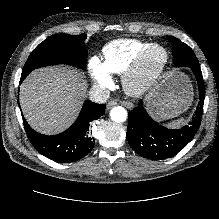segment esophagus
Wrapping results in <instances>:
<instances>
[{"mask_svg":"<svg viewBox=\"0 0 219 219\" xmlns=\"http://www.w3.org/2000/svg\"><path fill=\"white\" fill-rule=\"evenodd\" d=\"M117 103L115 101H110L108 104H107V109H110L111 107L115 106Z\"/></svg>","mask_w":219,"mask_h":219,"instance_id":"obj_1","label":"esophagus"}]
</instances>
